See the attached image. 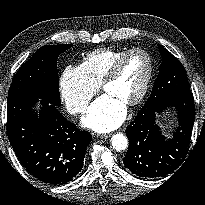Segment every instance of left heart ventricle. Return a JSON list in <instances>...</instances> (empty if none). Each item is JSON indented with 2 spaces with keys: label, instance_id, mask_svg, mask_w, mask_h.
I'll list each match as a JSON object with an SVG mask.
<instances>
[{
  "label": "left heart ventricle",
  "instance_id": "1",
  "mask_svg": "<svg viewBox=\"0 0 205 205\" xmlns=\"http://www.w3.org/2000/svg\"><path fill=\"white\" fill-rule=\"evenodd\" d=\"M148 69L149 61L144 54L130 56L122 65L118 77L104 88V93L126 105L140 92Z\"/></svg>",
  "mask_w": 205,
  "mask_h": 205
}]
</instances>
